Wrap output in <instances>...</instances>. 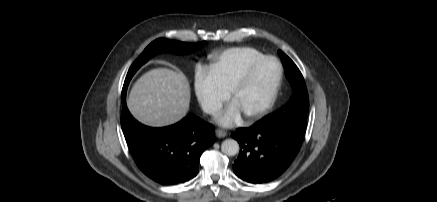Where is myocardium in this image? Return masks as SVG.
Wrapping results in <instances>:
<instances>
[{
  "label": "myocardium",
  "instance_id": "obj_1",
  "mask_svg": "<svg viewBox=\"0 0 437 202\" xmlns=\"http://www.w3.org/2000/svg\"><path fill=\"white\" fill-rule=\"evenodd\" d=\"M266 61H274L277 64V67H278L277 76L275 78V81L270 89L269 95H268L267 99L265 100V102L257 110L245 115V117L248 121H253V120L259 119L260 117L265 115L270 110V108L273 106V104L277 98L278 91L280 89V86L282 83V78H283V67H282L281 62L274 56H263L255 61H253L246 68L244 73L235 82V84L233 85V87L230 90L231 98L234 99L236 94L250 81V79L252 78L257 67Z\"/></svg>",
  "mask_w": 437,
  "mask_h": 202
}]
</instances>
